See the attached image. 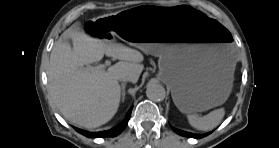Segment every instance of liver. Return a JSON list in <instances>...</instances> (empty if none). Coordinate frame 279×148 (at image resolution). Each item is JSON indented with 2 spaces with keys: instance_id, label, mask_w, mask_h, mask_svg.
<instances>
[{
  "instance_id": "liver-1",
  "label": "liver",
  "mask_w": 279,
  "mask_h": 148,
  "mask_svg": "<svg viewBox=\"0 0 279 148\" xmlns=\"http://www.w3.org/2000/svg\"><path fill=\"white\" fill-rule=\"evenodd\" d=\"M104 54L120 61L107 71L93 72L84 67L100 61ZM143 60L138 50L94 37L77 22L52 48L47 70L51 99L71 123L88 129L99 127L118 110L119 77H129L130 82L136 83L144 69Z\"/></svg>"
}]
</instances>
